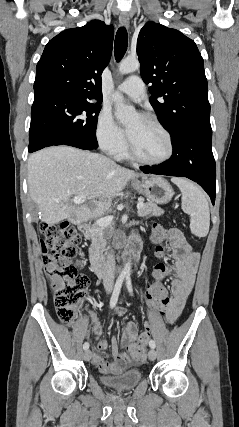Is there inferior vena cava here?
Here are the masks:
<instances>
[{"label":"inferior vena cava","mask_w":239,"mask_h":427,"mask_svg":"<svg viewBox=\"0 0 239 427\" xmlns=\"http://www.w3.org/2000/svg\"><path fill=\"white\" fill-rule=\"evenodd\" d=\"M115 258L112 252H109L106 256V261L104 264V276H103V285L104 288L108 291L112 290L114 285V273H115Z\"/></svg>","instance_id":"602c4592"}]
</instances>
